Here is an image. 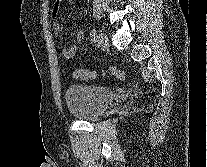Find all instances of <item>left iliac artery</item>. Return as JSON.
<instances>
[{"instance_id": "left-iliac-artery-1", "label": "left iliac artery", "mask_w": 207, "mask_h": 167, "mask_svg": "<svg viewBox=\"0 0 207 167\" xmlns=\"http://www.w3.org/2000/svg\"><path fill=\"white\" fill-rule=\"evenodd\" d=\"M91 41L95 42L97 39V31L93 28L90 32Z\"/></svg>"}]
</instances>
